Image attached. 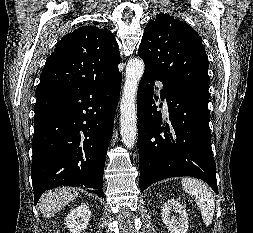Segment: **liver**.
I'll use <instances>...</instances> for the list:
<instances>
[{
	"instance_id": "obj_1",
	"label": "liver",
	"mask_w": 253,
	"mask_h": 233,
	"mask_svg": "<svg viewBox=\"0 0 253 233\" xmlns=\"http://www.w3.org/2000/svg\"><path fill=\"white\" fill-rule=\"evenodd\" d=\"M78 196L75 188H58L48 192L40 201V211L45 218L54 216L71 200Z\"/></svg>"
}]
</instances>
